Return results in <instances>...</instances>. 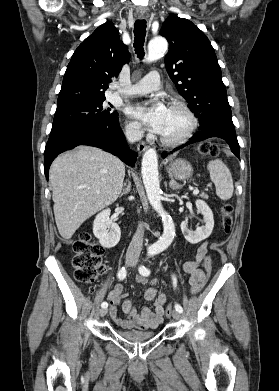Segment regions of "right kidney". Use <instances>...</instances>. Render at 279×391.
Listing matches in <instances>:
<instances>
[{
    "label": "right kidney",
    "instance_id": "right-kidney-1",
    "mask_svg": "<svg viewBox=\"0 0 279 391\" xmlns=\"http://www.w3.org/2000/svg\"><path fill=\"white\" fill-rule=\"evenodd\" d=\"M110 209L100 212L93 223V233L101 246L112 248L116 246L121 237L120 227L110 219Z\"/></svg>",
    "mask_w": 279,
    "mask_h": 391
}]
</instances>
